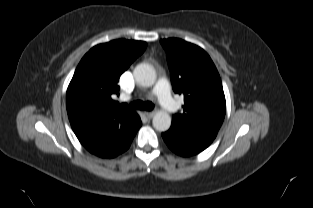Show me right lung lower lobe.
<instances>
[{"instance_id": "98d812e1", "label": "right lung lower lobe", "mask_w": 313, "mask_h": 208, "mask_svg": "<svg viewBox=\"0 0 313 208\" xmlns=\"http://www.w3.org/2000/svg\"><path fill=\"white\" fill-rule=\"evenodd\" d=\"M141 124L136 114L129 124L107 120L95 125L72 126V129L90 153L102 158H113L129 148Z\"/></svg>"}]
</instances>
